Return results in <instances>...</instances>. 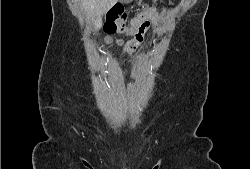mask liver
Instances as JSON below:
<instances>
[{
	"label": "liver",
	"mask_w": 250,
	"mask_h": 169,
	"mask_svg": "<svg viewBox=\"0 0 250 169\" xmlns=\"http://www.w3.org/2000/svg\"><path fill=\"white\" fill-rule=\"evenodd\" d=\"M79 2L83 12H86L87 16L97 14L98 18H100L117 0H79Z\"/></svg>",
	"instance_id": "1"
}]
</instances>
